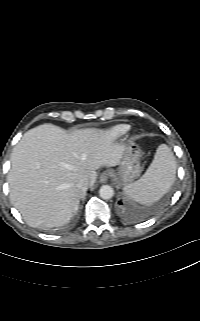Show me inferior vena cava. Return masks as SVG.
<instances>
[{"label": "inferior vena cava", "instance_id": "602c4592", "mask_svg": "<svg viewBox=\"0 0 200 321\" xmlns=\"http://www.w3.org/2000/svg\"><path fill=\"white\" fill-rule=\"evenodd\" d=\"M88 180L87 179H80L78 182H77V184H76V186L79 188V189H81L82 191H86L87 190V188H88Z\"/></svg>", "mask_w": 200, "mask_h": 321}]
</instances>
